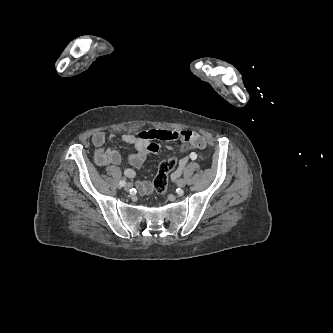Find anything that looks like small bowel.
<instances>
[{
  "mask_svg": "<svg viewBox=\"0 0 333 333\" xmlns=\"http://www.w3.org/2000/svg\"><path fill=\"white\" fill-rule=\"evenodd\" d=\"M113 137L114 136H112V138ZM120 140L126 144L132 145L135 149L134 153L129 156V163L132 168H127L124 171L127 178H133L135 176L134 169L140 168L149 155L156 154L160 150L159 144L155 142L156 140H188L199 149H203L207 144V140L204 136L190 130L169 131L149 129L140 131L137 135L124 134L120 137ZM105 141L106 136L103 132L99 131L93 134L94 161L101 167L117 166L121 161L120 154L115 150L105 148ZM167 148L172 149V146L168 145ZM197 157L198 154L196 152H191L187 157L182 158L179 162V166L172 175V179H177L183 172L188 161L196 160ZM138 188L143 195H149L152 192L150 183L146 181L140 182Z\"/></svg>",
  "mask_w": 333,
  "mask_h": 333,
  "instance_id": "c3829d8e",
  "label": "small bowel"
}]
</instances>
